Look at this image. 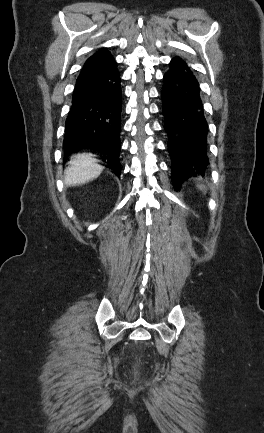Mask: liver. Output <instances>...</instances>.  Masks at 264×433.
I'll return each instance as SVG.
<instances>
[{
	"instance_id": "6515ba94",
	"label": "liver",
	"mask_w": 264,
	"mask_h": 433,
	"mask_svg": "<svg viewBox=\"0 0 264 433\" xmlns=\"http://www.w3.org/2000/svg\"><path fill=\"white\" fill-rule=\"evenodd\" d=\"M64 171V182L68 186L85 184L96 179L103 171L92 154H79L69 161Z\"/></svg>"
}]
</instances>
